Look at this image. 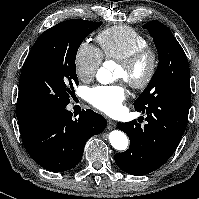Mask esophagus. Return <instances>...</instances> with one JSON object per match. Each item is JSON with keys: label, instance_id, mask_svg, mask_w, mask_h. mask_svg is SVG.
I'll return each instance as SVG.
<instances>
[{"label": "esophagus", "instance_id": "34e87169", "mask_svg": "<svg viewBox=\"0 0 199 199\" xmlns=\"http://www.w3.org/2000/svg\"><path fill=\"white\" fill-rule=\"evenodd\" d=\"M115 127H116V122L113 121V120H111V119H108V120H107V128H108V129H113V128H115Z\"/></svg>", "mask_w": 199, "mask_h": 199}]
</instances>
